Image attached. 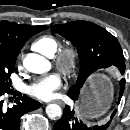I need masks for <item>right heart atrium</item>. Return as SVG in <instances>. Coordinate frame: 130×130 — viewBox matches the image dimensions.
Returning a JSON list of instances; mask_svg holds the SVG:
<instances>
[{
    "instance_id": "right-heart-atrium-1",
    "label": "right heart atrium",
    "mask_w": 130,
    "mask_h": 130,
    "mask_svg": "<svg viewBox=\"0 0 130 130\" xmlns=\"http://www.w3.org/2000/svg\"><path fill=\"white\" fill-rule=\"evenodd\" d=\"M22 57H23L22 54H20L19 57H18V63H19V65L21 64Z\"/></svg>"
}]
</instances>
